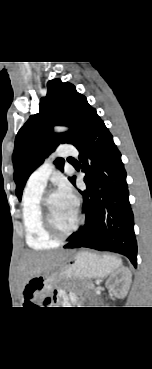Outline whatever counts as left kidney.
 <instances>
[{
	"label": "left kidney",
	"mask_w": 152,
	"mask_h": 369,
	"mask_svg": "<svg viewBox=\"0 0 152 369\" xmlns=\"http://www.w3.org/2000/svg\"><path fill=\"white\" fill-rule=\"evenodd\" d=\"M131 282L132 273L130 269L122 267L108 278L105 285L116 297L124 298L128 293Z\"/></svg>",
	"instance_id": "left-kidney-1"
}]
</instances>
